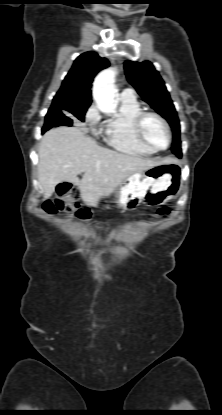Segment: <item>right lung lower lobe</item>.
I'll return each mask as SVG.
<instances>
[{
	"label": "right lung lower lobe",
	"mask_w": 222,
	"mask_h": 415,
	"mask_svg": "<svg viewBox=\"0 0 222 415\" xmlns=\"http://www.w3.org/2000/svg\"><path fill=\"white\" fill-rule=\"evenodd\" d=\"M49 129V126L46 125V119H45V124L44 127L42 129V132L44 133L45 131H47Z\"/></svg>",
	"instance_id": "right-lung-lower-lobe-1"
}]
</instances>
